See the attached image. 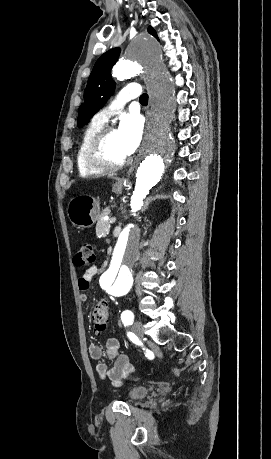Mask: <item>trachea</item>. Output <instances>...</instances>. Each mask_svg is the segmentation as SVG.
I'll list each match as a JSON object with an SVG mask.
<instances>
[{
    "label": "trachea",
    "mask_w": 271,
    "mask_h": 459,
    "mask_svg": "<svg viewBox=\"0 0 271 459\" xmlns=\"http://www.w3.org/2000/svg\"><path fill=\"white\" fill-rule=\"evenodd\" d=\"M140 102L144 105L148 103V95L146 93H143L140 97Z\"/></svg>",
    "instance_id": "1"
}]
</instances>
